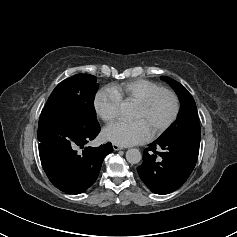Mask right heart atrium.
Returning a JSON list of instances; mask_svg holds the SVG:
<instances>
[{
  "label": "right heart atrium",
  "mask_w": 237,
  "mask_h": 237,
  "mask_svg": "<svg viewBox=\"0 0 237 237\" xmlns=\"http://www.w3.org/2000/svg\"><path fill=\"white\" fill-rule=\"evenodd\" d=\"M93 104L96 114L109 123L118 116L121 101L110 88H103L96 93Z\"/></svg>",
  "instance_id": "d8ad5b80"
}]
</instances>
